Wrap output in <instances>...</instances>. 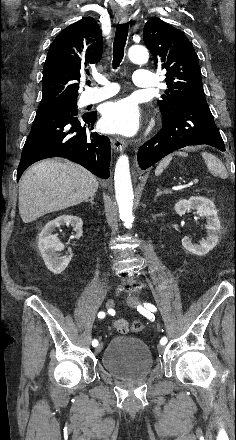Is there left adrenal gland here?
Listing matches in <instances>:
<instances>
[{
	"label": "left adrenal gland",
	"mask_w": 236,
	"mask_h": 440,
	"mask_svg": "<svg viewBox=\"0 0 236 440\" xmlns=\"http://www.w3.org/2000/svg\"><path fill=\"white\" fill-rule=\"evenodd\" d=\"M167 193H171V191L168 190V189L161 191V189L158 188V189H157V194H156V196H155V200L157 199L158 196H160V195H162V194H167Z\"/></svg>",
	"instance_id": "obj_1"
}]
</instances>
